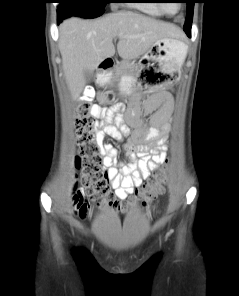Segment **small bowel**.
Returning <instances> with one entry per match:
<instances>
[{"instance_id":"obj_1","label":"small bowel","mask_w":239,"mask_h":296,"mask_svg":"<svg viewBox=\"0 0 239 296\" xmlns=\"http://www.w3.org/2000/svg\"><path fill=\"white\" fill-rule=\"evenodd\" d=\"M171 110L172 99L168 94L149 97L142 109L138 101H132L126 111L122 105L109 109L95 107L94 116L102 118L96 134L100 154L103 156L105 177L119 200L126 199L144 179L165 162L166 141L171 130ZM151 113L152 116L145 122L144 117ZM124 118L128 125L123 122ZM130 127L134 131L129 141L124 144L128 162L123 163L117 158L118 151L111 144L105 143L104 139L109 135L122 141L123 135L130 133Z\"/></svg>"}]
</instances>
